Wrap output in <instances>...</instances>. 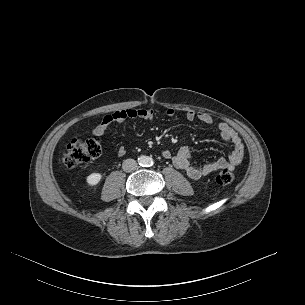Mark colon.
Segmentation results:
<instances>
[{
    "label": "colon",
    "instance_id": "colon-1",
    "mask_svg": "<svg viewBox=\"0 0 305 305\" xmlns=\"http://www.w3.org/2000/svg\"><path fill=\"white\" fill-rule=\"evenodd\" d=\"M102 152V142L97 136L87 139H71L66 150L61 155L62 164L73 169L77 166L98 158ZM234 181V175L229 170H222L216 176V182L220 185H228Z\"/></svg>",
    "mask_w": 305,
    "mask_h": 305
}]
</instances>
